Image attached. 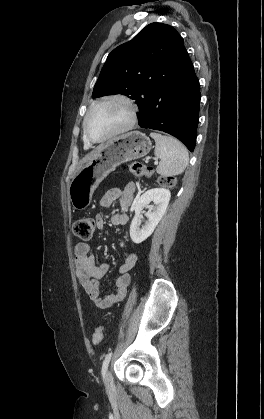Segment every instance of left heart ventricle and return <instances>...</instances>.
Returning <instances> with one entry per match:
<instances>
[{
	"label": "left heart ventricle",
	"mask_w": 264,
	"mask_h": 419,
	"mask_svg": "<svg viewBox=\"0 0 264 419\" xmlns=\"http://www.w3.org/2000/svg\"><path fill=\"white\" fill-rule=\"evenodd\" d=\"M128 120L127 107L118 101H112L96 107L87 122L89 135L100 139L122 127Z\"/></svg>",
	"instance_id": "obj_1"
}]
</instances>
